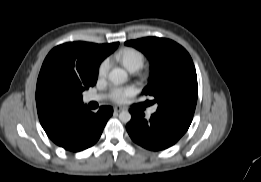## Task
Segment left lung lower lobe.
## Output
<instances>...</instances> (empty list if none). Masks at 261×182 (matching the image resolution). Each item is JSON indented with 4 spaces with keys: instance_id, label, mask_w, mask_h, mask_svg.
<instances>
[{
    "instance_id": "obj_1",
    "label": "left lung lower lobe",
    "mask_w": 261,
    "mask_h": 182,
    "mask_svg": "<svg viewBox=\"0 0 261 182\" xmlns=\"http://www.w3.org/2000/svg\"><path fill=\"white\" fill-rule=\"evenodd\" d=\"M132 118L126 125L131 139L138 145L153 151L174 145L188 130L193 117L154 113L150 119L143 112L130 110Z\"/></svg>"
}]
</instances>
